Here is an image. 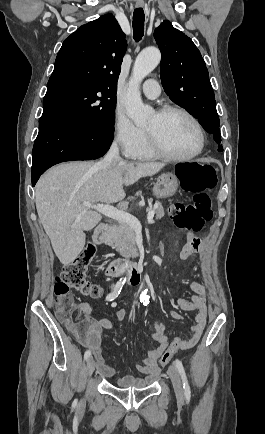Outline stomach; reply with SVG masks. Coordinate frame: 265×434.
<instances>
[{"label":"stomach","mask_w":265,"mask_h":434,"mask_svg":"<svg viewBox=\"0 0 265 434\" xmlns=\"http://www.w3.org/2000/svg\"><path fill=\"white\" fill-rule=\"evenodd\" d=\"M178 190V180L175 174H162L154 184L153 194L156 198H170Z\"/></svg>","instance_id":"1"}]
</instances>
